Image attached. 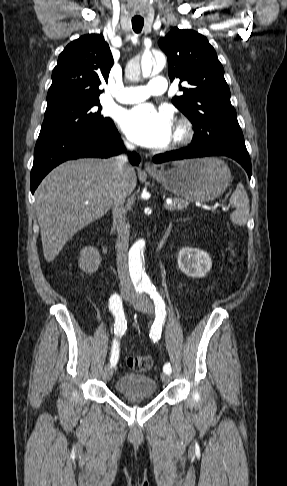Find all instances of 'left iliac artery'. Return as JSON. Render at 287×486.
<instances>
[{"label": "left iliac artery", "instance_id": "44dca946", "mask_svg": "<svg viewBox=\"0 0 287 486\" xmlns=\"http://www.w3.org/2000/svg\"><path fill=\"white\" fill-rule=\"evenodd\" d=\"M145 292L150 296L155 305L156 319L150 331V338L157 342L161 336L162 324L166 317L165 303L156 288L153 285H148L144 288ZM163 371L170 374L172 369L170 363L163 366Z\"/></svg>", "mask_w": 287, "mask_h": 486}]
</instances>
